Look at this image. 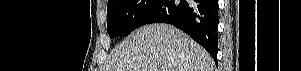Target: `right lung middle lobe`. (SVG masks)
<instances>
[{
  "mask_svg": "<svg viewBox=\"0 0 301 71\" xmlns=\"http://www.w3.org/2000/svg\"><path fill=\"white\" fill-rule=\"evenodd\" d=\"M158 0H108L107 32L110 38L127 36Z\"/></svg>",
  "mask_w": 301,
  "mask_h": 71,
  "instance_id": "obj_1",
  "label": "right lung middle lobe"
}]
</instances>
